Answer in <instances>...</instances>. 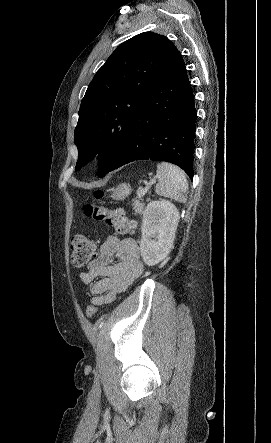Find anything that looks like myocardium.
<instances>
[{
    "label": "myocardium",
    "mask_w": 271,
    "mask_h": 443,
    "mask_svg": "<svg viewBox=\"0 0 271 443\" xmlns=\"http://www.w3.org/2000/svg\"><path fill=\"white\" fill-rule=\"evenodd\" d=\"M99 157H100V153L94 152L91 158L93 161H97L99 159Z\"/></svg>",
    "instance_id": "f54148a6"
}]
</instances>
